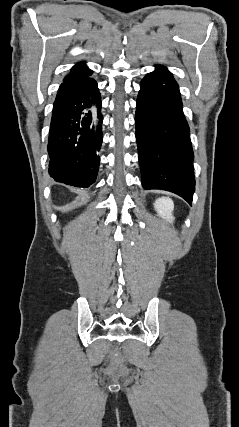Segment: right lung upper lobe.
<instances>
[{
    "label": "right lung upper lobe",
    "instance_id": "1",
    "mask_svg": "<svg viewBox=\"0 0 239 427\" xmlns=\"http://www.w3.org/2000/svg\"><path fill=\"white\" fill-rule=\"evenodd\" d=\"M88 72H91V70L88 69V67L84 63H78L77 65L72 67L70 75L66 76L65 78L75 76V75H79V74L88 73Z\"/></svg>",
    "mask_w": 239,
    "mask_h": 427
}]
</instances>
